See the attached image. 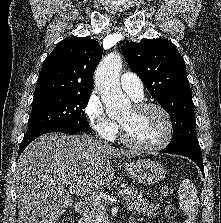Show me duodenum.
I'll return each instance as SVG.
<instances>
[{
    "instance_id": "410a0bca",
    "label": "duodenum",
    "mask_w": 221,
    "mask_h": 223,
    "mask_svg": "<svg viewBox=\"0 0 221 223\" xmlns=\"http://www.w3.org/2000/svg\"><path fill=\"white\" fill-rule=\"evenodd\" d=\"M88 212V205L86 202L80 201L77 204V215L80 219H82L85 214Z\"/></svg>"
}]
</instances>
